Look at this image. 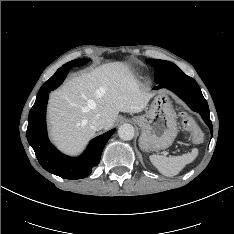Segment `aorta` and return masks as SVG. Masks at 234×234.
Segmentation results:
<instances>
[{
    "label": "aorta",
    "instance_id": "obj_1",
    "mask_svg": "<svg viewBox=\"0 0 234 234\" xmlns=\"http://www.w3.org/2000/svg\"><path fill=\"white\" fill-rule=\"evenodd\" d=\"M118 135L124 141L131 140L135 135L134 127L130 124H123L118 129Z\"/></svg>",
    "mask_w": 234,
    "mask_h": 234
}]
</instances>
